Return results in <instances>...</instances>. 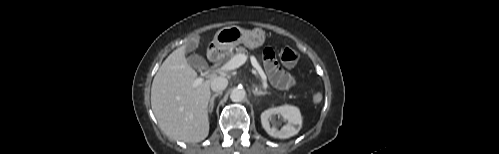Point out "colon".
I'll return each mask as SVG.
<instances>
[{
	"label": "colon",
	"mask_w": 499,
	"mask_h": 154,
	"mask_svg": "<svg viewBox=\"0 0 499 154\" xmlns=\"http://www.w3.org/2000/svg\"><path fill=\"white\" fill-rule=\"evenodd\" d=\"M299 53L291 47H286L281 52V61L286 66H294L299 60ZM310 99L314 104H318L322 100V94L318 90H312L310 93Z\"/></svg>",
	"instance_id": "colon-1"
}]
</instances>
